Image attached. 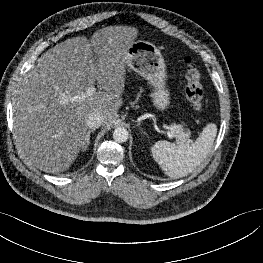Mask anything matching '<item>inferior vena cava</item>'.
Returning a JSON list of instances; mask_svg holds the SVG:
<instances>
[{"label": "inferior vena cava", "mask_w": 263, "mask_h": 263, "mask_svg": "<svg viewBox=\"0 0 263 263\" xmlns=\"http://www.w3.org/2000/svg\"><path fill=\"white\" fill-rule=\"evenodd\" d=\"M104 116L97 111L90 112L87 115L86 124L91 129H96L103 124Z\"/></svg>", "instance_id": "602c4592"}]
</instances>
